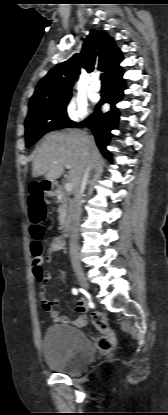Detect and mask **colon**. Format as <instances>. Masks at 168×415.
Returning <instances> with one entry per match:
<instances>
[{
  "label": "colon",
  "instance_id": "5ec220e1",
  "mask_svg": "<svg viewBox=\"0 0 168 415\" xmlns=\"http://www.w3.org/2000/svg\"><path fill=\"white\" fill-rule=\"evenodd\" d=\"M28 208L31 223L30 234L34 239L31 244L34 272L39 279H43L42 264L44 248L39 240L45 233V227L42 224L44 219V205L42 196L37 188L31 189L28 199ZM92 322L95 328L102 333V336L95 339L96 347L104 352L113 349L115 346V334L107 325L106 315L102 312H95L92 314Z\"/></svg>",
  "mask_w": 168,
  "mask_h": 415
}]
</instances>
